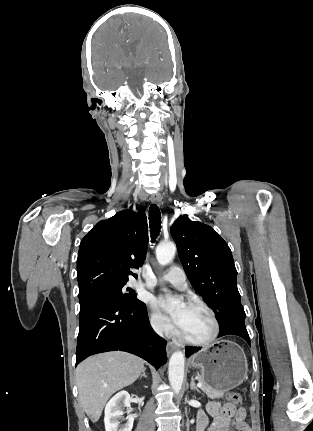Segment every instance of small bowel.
<instances>
[{"instance_id": "obj_1", "label": "small bowel", "mask_w": 313, "mask_h": 431, "mask_svg": "<svg viewBox=\"0 0 313 431\" xmlns=\"http://www.w3.org/2000/svg\"><path fill=\"white\" fill-rule=\"evenodd\" d=\"M208 415L212 418V422L207 431H230L232 419H235L237 431H252L250 424L247 422V412L245 408H234L230 413L225 412V407L217 402H210L207 405ZM208 417L204 413H200L197 422L198 431H203L208 425Z\"/></svg>"}]
</instances>
